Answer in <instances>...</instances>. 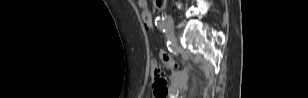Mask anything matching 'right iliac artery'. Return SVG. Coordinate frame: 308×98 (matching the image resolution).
Segmentation results:
<instances>
[{"label":"right iliac artery","mask_w":308,"mask_h":98,"mask_svg":"<svg viewBox=\"0 0 308 98\" xmlns=\"http://www.w3.org/2000/svg\"><path fill=\"white\" fill-rule=\"evenodd\" d=\"M155 25L158 27L159 30L162 32L166 31V22L163 17H157L155 19Z\"/></svg>","instance_id":"right-iliac-artery-1"}]
</instances>
